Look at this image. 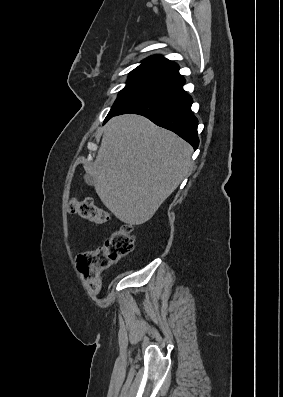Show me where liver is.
I'll return each mask as SVG.
<instances>
[{"instance_id": "1", "label": "liver", "mask_w": 283, "mask_h": 397, "mask_svg": "<svg viewBox=\"0 0 283 397\" xmlns=\"http://www.w3.org/2000/svg\"><path fill=\"white\" fill-rule=\"evenodd\" d=\"M192 147L145 117L127 114L105 126L87 168L103 204L122 222L148 221L192 167Z\"/></svg>"}]
</instances>
